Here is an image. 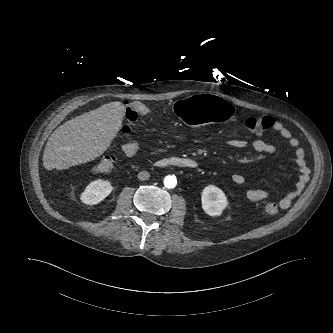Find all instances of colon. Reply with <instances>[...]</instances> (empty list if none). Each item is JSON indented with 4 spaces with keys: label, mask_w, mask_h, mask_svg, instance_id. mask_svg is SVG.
Masks as SVG:
<instances>
[{
    "label": "colon",
    "mask_w": 333,
    "mask_h": 333,
    "mask_svg": "<svg viewBox=\"0 0 333 333\" xmlns=\"http://www.w3.org/2000/svg\"><path fill=\"white\" fill-rule=\"evenodd\" d=\"M150 115L151 110L140 103H128L126 105V121L123 127L124 133L132 131V124L138 119L139 115ZM274 120L269 116L250 117L246 120V128L254 134H261L267 129L273 127ZM116 164V159L113 156L102 157L94 166V170L101 173L111 172ZM279 207L275 202H268L263 205L262 213L272 216L278 213Z\"/></svg>",
    "instance_id": "5ec220e1"
}]
</instances>
